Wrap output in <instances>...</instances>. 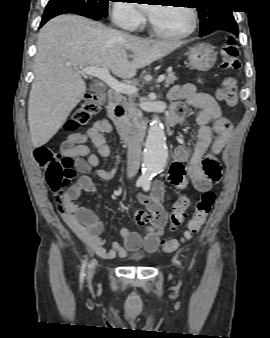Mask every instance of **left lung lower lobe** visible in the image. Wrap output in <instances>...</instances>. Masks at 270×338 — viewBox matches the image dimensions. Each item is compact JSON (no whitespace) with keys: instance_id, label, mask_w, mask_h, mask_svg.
I'll return each instance as SVG.
<instances>
[{"instance_id":"1","label":"left lung lower lobe","mask_w":270,"mask_h":338,"mask_svg":"<svg viewBox=\"0 0 270 338\" xmlns=\"http://www.w3.org/2000/svg\"><path fill=\"white\" fill-rule=\"evenodd\" d=\"M219 29L230 31L233 34H235L236 36H238V27H237L235 20L229 21V22L221 25Z\"/></svg>"}]
</instances>
